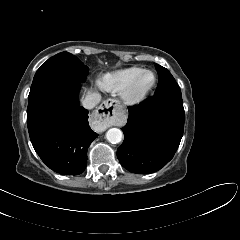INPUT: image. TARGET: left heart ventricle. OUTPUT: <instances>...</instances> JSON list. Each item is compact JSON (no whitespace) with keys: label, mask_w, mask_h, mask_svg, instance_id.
Instances as JSON below:
<instances>
[{"label":"left heart ventricle","mask_w":240,"mask_h":240,"mask_svg":"<svg viewBox=\"0 0 240 240\" xmlns=\"http://www.w3.org/2000/svg\"><path fill=\"white\" fill-rule=\"evenodd\" d=\"M153 83V75L151 73L144 74L137 83L136 91L142 92L149 88Z\"/></svg>","instance_id":"1"}]
</instances>
